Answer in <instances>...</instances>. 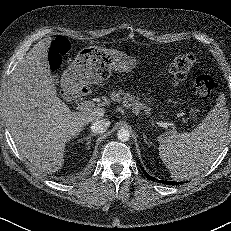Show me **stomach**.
<instances>
[{"mask_svg":"<svg viewBox=\"0 0 231 231\" xmlns=\"http://www.w3.org/2000/svg\"><path fill=\"white\" fill-rule=\"evenodd\" d=\"M138 64L135 57L115 49L83 48L64 72L62 80L69 87L99 84L110 76L112 70L131 71Z\"/></svg>","mask_w":231,"mask_h":231,"instance_id":"1","label":"stomach"}]
</instances>
